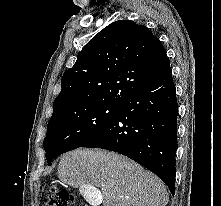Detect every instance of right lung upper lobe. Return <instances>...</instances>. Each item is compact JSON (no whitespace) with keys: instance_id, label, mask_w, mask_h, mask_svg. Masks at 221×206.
<instances>
[{"instance_id":"cb5924a9","label":"right lung upper lobe","mask_w":221,"mask_h":206,"mask_svg":"<svg viewBox=\"0 0 221 206\" xmlns=\"http://www.w3.org/2000/svg\"><path fill=\"white\" fill-rule=\"evenodd\" d=\"M169 66L164 47L147 27L130 20L113 22L64 72L53 114L92 103L121 105Z\"/></svg>"}]
</instances>
